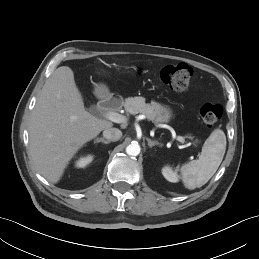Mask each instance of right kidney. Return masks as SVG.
Instances as JSON below:
<instances>
[{"label": "right kidney", "instance_id": "obj_1", "mask_svg": "<svg viewBox=\"0 0 259 259\" xmlns=\"http://www.w3.org/2000/svg\"><path fill=\"white\" fill-rule=\"evenodd\" d=\"M92 160H93L92 155H88L86 157H81L79 160L76 161L75 166L78 168H84L85 166L90 164L92 162Z\"/></svg>", "mask_w": 259, "mask_h": 259}]
</instances>
